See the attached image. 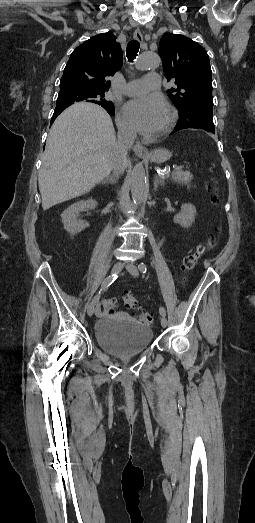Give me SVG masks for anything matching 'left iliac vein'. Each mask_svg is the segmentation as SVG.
I'll return each instance as SVG.
<instances>
[{"label": "left iliac vein", "instance_id": "obj_1", "mask_svg": "<svg viewBox=\"0 0 255 523\" xmlns=\"http://www.w3.org/2000/svg\"><path fill=\"white\" fill-rule=\"evenodd\" d=\"M126 268L134 277H137L139 275L138 269L134 263H128L126 265ZM160 322L162 327L165 328L167 326V319L165 318V316L161 318Z\"/></svg>", "mask_w": 255, "mask_h": 523}]
</instances>
